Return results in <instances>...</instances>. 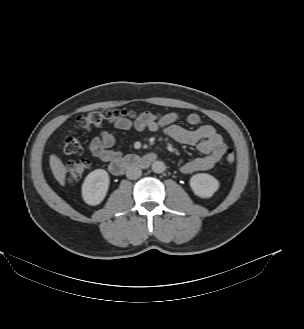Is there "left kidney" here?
I'll return each mask as SVG.
<instances>
[{
    "label": "left kidney",
    "instance_id": "5707ae66",
    "mask_svg": "<svg viewBox=\"0 0 304 329\" xmlns=\"http://www.w3.org/2000/svg\"><path fill=\"white\" fill-rule=\"evenodd\" d=\"M189 184L195 195L201 198L212 197L219 188V181L207 173L193 175Z\"/></svg>",
    "mask_w": 304,
    "mask_h": 329
}]
</instances>
